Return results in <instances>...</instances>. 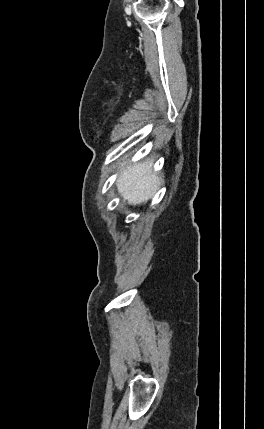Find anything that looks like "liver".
I'll use <instances>...</instances> for the list:
<instances>
[{"mask_svg":"<svg viewBox=\"0 0 264 429\" xmlns=\"http://www.w3.org/2000/svg\"><path fill=\"white\" fill-rule=\"evenodd\" d=\"M128 160L122 163L124 166ZM153 160H145L124 169L116 185L119 194L128 204L146 203L158 190L161 178L152 172Z\"/></svg>","mask_w":264,"mask_h":429,"instance_id":"6515ba94","label":"liver"}]
</instances>
